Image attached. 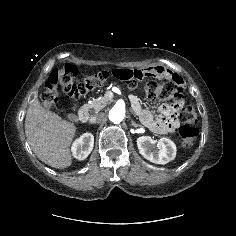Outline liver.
<instances>
[{
	"label": "liver",
	"instance_id": "6515ba94",
	"mask_svg": "<svg viewBox=\"0 0 236 236\" xmlns=\"http://www.w3.org/2000/svg\"><path fill=\"white\" fill-rule=\"evenodd\" d=\"M25 134L31 149L42 162L58 169L72 164L70 145L76 126L44 108L38 99H33L28 107Z\"/></svg>",
	"mask_w": 236,
	"mask_h": 236
}]
</instances>
